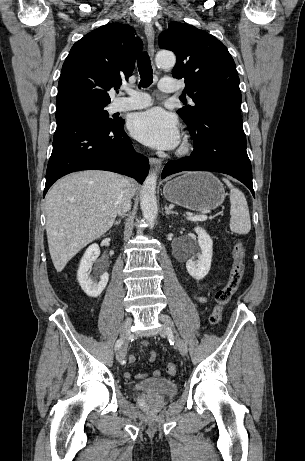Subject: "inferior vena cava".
I'll return each instance as SVG.
<instances>
[{"label":"inferior vena cava","instance_id":"obj_1","mask_svg":"<svg viewBox=\"0 0 305 461\" xmlns=\"http://www.w3.org/2000/svg\"><path fill=\"white\" fill-rule=\"evenodd\" d=\"M131 198L132 194L129 189V181L127 179H122L121 182V192L118 197V206L117 213L123 216L127 211L131 209Z\"/></svg>","mask_w":305,"mask_h":461}]
</instances>
